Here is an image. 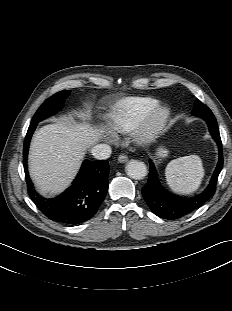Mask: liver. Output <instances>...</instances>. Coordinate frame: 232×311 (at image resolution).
Instances as JSON below:
<instances>
[{"instance_id": "liver-1", "label": "liver", "mask_w": 232, "mask_h": 311, "mask_svg": "<svg viewBox=\"0 0 232 311\" xmlns=\"http://www.w3.org/2000/svg\"><path fill=\"white\" fill-rule=\"evenodd\" d=\"M101 138L87 123L62 121L40 128L29 154V171L42 194L63 191L76 175L85 150Z\"/></svg>"}]
</instances>
